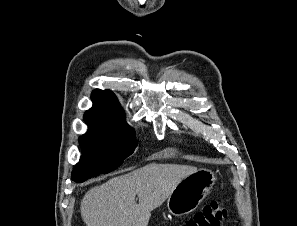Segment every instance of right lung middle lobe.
<instances>
[{
	"label": "right lung middle lobe",
	"mask_w": 297,
	"mask_h": 226,
	"mask_svg": "<svg viewBox=\"0 0 297 226\" xmlns=\"http://www.w3.org/2000/svg\"><path fill=\"white\" fill-rule=\"evenodd\" d=\"M82 156L72 171L71 179L81 183L119 167L137 146L134 129L120 117L114 127L91 128L79 138Z\"/></svg>",
	"instance_id": "dd1d6c3e"
}]
</instances>
